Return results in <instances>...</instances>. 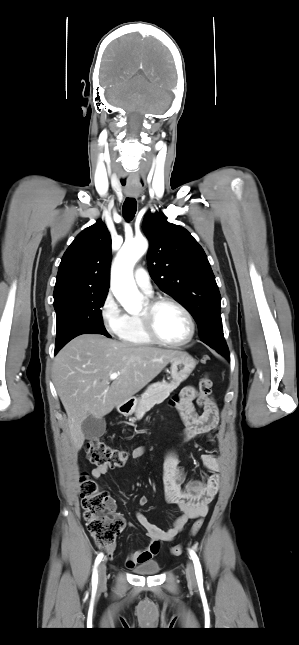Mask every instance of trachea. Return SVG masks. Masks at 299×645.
Masks as SVG:
<instances>
[{
    "label": "trachea",
    "mask_w": 299,
    "mask_h": 645,
    "mask_svg": "<svg viewBox=\"0 0 299 645\" xmlns=\"http://www.w3.org/2000/svg\"><path fill=\"white\" fill-rule=\"evenodd\" d=\"M137 204L134 198H126L123 204V217L126 221H131L136 213Z\"/></svg>",
    "instance_id": "trachea-1"
}]
</instances>
